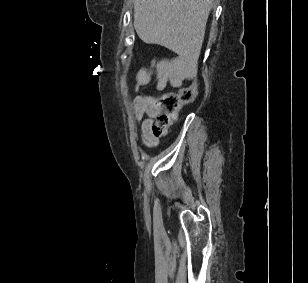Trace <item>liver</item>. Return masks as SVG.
Returning a JSON list of instances; mask_svg holds the SVG:
<instances>
[{"mask_svg":"<svg viewBox=\"0 0 308 283\" xmlns=\"http://www.w3.org/2000/svg\"><path fill=\"white\" fill-rule=\"evenodd\" d=\"M133 1L134 27L143 42L197 61L214 0Z\"/></svg>","mask_w":308,"mask_h":283,"instance_id":"6515ba94","label":"liver"}]
</instances>
